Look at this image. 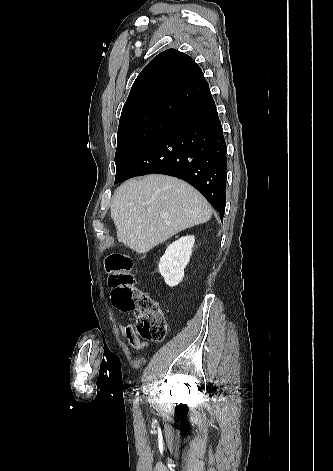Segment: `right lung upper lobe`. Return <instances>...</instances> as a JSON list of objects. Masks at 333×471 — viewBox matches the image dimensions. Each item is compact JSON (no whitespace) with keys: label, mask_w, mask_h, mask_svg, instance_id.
Listing matches in <instances>:
<instances>
[{"label":"right lung upper lobe","mask_w":333,"mask_h":471,"mask_svg":"<svg viewBox=\"0 0 333 471\" xmlns=\"http://www.w3.org/2000/svg\"><path fill=\"white\" fill-rule=\"evenodd\" d=\"M208 92L209 85L194 60L185 53L168 49L140 72L120 119L146 113L176 117Z\"/></svg>","instance_id":"1"}]
</instances>
